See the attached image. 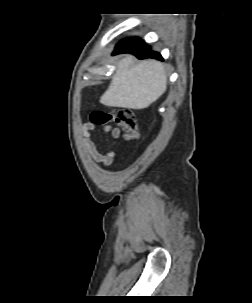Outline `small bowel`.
Instances as JSON below:
<instances>
[{"mask_svg":"<svg viewBox=\"0 0 252 303\" xmlns=\"http://www.w3.org/2000/svg\"><path fill=\"white\" fill-rule=\"evenodd\" d=\"M93 130L94 127L89 123H85L82 126V131H81L82 144L85 147L86 152L94 162L98 164H102L104 166H110L114 162L115 158H119L120 152L116 150H109L106 152L100 151L98 145L90 137V134ZM103 131L105 133H111V136L114 139H119L121 136L120 129L113 128L110 125L105 126L103 128Z\"/></svg>","mask_w":252,"mask_h":303,"instance_id":"c3829d8e","label":"small bowel"}]
</instances>
